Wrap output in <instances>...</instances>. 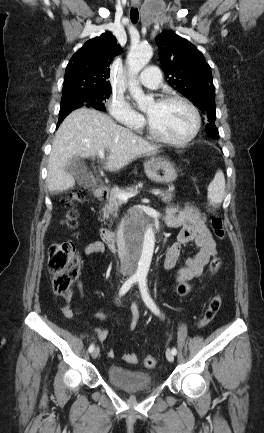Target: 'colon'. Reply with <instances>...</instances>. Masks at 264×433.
Returning a JSON list of instances; mask_svg holds the SVG:
<instances>
[{"label":"colon","mask_w":264,"mask_h":433,"mask_svg":"<svg viewBox=\"0 0 264 433\" xmlns=\"http://www.w3.org/2000/svg\"><path fill=\"white\" fill-rule=\"evenodd\" d=\"M88 197V191L85 188H78L72 192L70 198L66 201L68 211L64 218V223L67 226H74L76 223L77 213L74 210V202H82ZM212 214L210 218V226L216 238L223 239L225 237V230L222 219L215 214L212 206L208 208ZM49 259L48 266L53 276V289L54 292L62 297L69 295V288L79 273V256L76 251L75 245L71 241L53 242L49 246ZM222 264L220 257H213L209 264V272H216ZM191 285L188 282L177 283L176 294L179 297H184L191 291ZM222 304L220 295L214 296L209 304L202 318L198 322V327L203 328L208 325L218 313ZM143 364L147 368H154L157 365V360L153 356H145Z\"/></svg>","instance_id":"1"}]
</instances>
